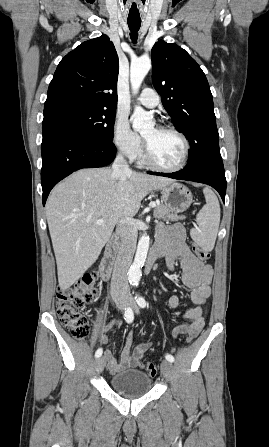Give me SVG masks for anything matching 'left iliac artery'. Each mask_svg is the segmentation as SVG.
<instances>
[{
    "mask_svg": "<svg viewBox=\"0 0 269 447\" xmlns=\"http://www.w3.org/2000/svg\"><path fill=\"white\" fill-rule=\"evenodd\" d=\"M134 285L137 286L138 283L135 282ZM135 299H136L137 304H138L141 308L146 307V301H145V299H144L142 296H140V295L137 294V295L135 296ZM165 358H166L169 362H174V357H173L172 355H170V354H167V355L165 356Z\"/></svg>",
    "mask_w": 269,
    "mask_h": 447,
    "instance_id": "obj_1",
    "label": "left iliac artery"
}]
</instances>
